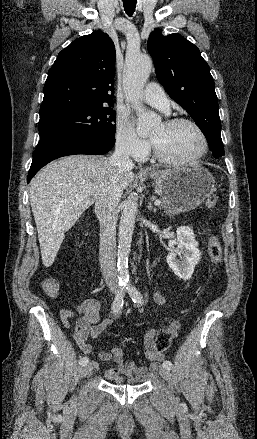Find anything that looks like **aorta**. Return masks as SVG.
<instances>
[{"instance_id":"aorta-1","label":"aorta","mask_w":257,"mask_h":439,"mask_svg":"<svg viewBox=\"0 0 257 439\" xmlns=\"http://www.w3.org/2000/svg\"><path fill=\"white\" fill-rule=\"evenodd\" d=\"M152 69V61L148 56L128 54L123 71V86L126 98L137 112V133L140 136L151 132L159 118L156 114L146 111L140 102L143 88ZM138 197L131 194L124 202L120 217L117 251V273L121 283H129L128 256L131 251L132 235L138 212Z\"/></svg>"}]
</instances>
